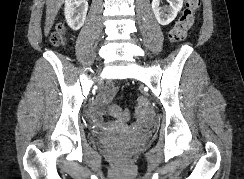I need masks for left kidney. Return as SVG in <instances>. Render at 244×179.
Listing matches in <instances>:
<instances>
[{
    "label": "left kidney",
    "mask_w": 244,
    "mask_h": 179,
    "mask_svg": "<svg viewBox=\"0 0 244 179\" xmlns=\"http://www.w3.org/2000/svg\"><path fill=\"white\" fill-rule=\"evenodd\" d=\"M183 0H169L168 8H160V0H153L152 10L154 16L161 26H168L175 20L178 12L182 10Z\"/></svg>",
    "instance_id": "obj_1"
}]
</instances>
